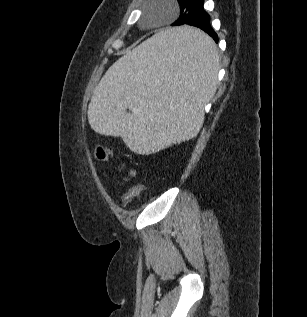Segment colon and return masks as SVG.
Returning a JSON list of instances; mask_svg holds the SVG:
<instances>
[{"instance_id":"obj_1","label":"colon","mask_w":307,"mask_h":317,"mask_svg":"<svg viewBox=\"0 0 307 317\" xmlns=\"http://www.w3.org/2000/svg\"><path fill=\"white\" fill-rule=\"evenodd\" d=\"M94 157L99 162H107L112 157V152L109 148L103 146H97L94 149ZM146 186L144 184H137L130 187L123 195H122V205L126 206L129 204L134 198L139 196L144 190Z\"/></svg>"}]
</instances>
